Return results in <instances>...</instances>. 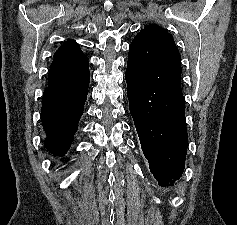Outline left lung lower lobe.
Listing matches in <instances>:
<instances>
[{
  "mask_svg": "<svg viewBox=\"0 0 237 225\" xmlns=\"http://www.w3.org/2000/svg\"><path fill=\"white\" fill-rule=\"evenodd\" d=\"M125 79L130 112L150 171L160 186H173L184 171L188 147L181 88L154 87L128 71Z\"/></svg>",
  "mask_w": 237,
  "mask_h": 225,
  "instance_id": "left-lung-lower-lobe-1",
  "label": "left lung lower lobe"
}]
</instances>
